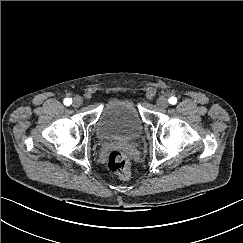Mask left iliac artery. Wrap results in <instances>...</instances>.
<instances>
[{"instance_id":"1","label":"left iliac artery","mask_w":243,"mask_h":243,"mask_svg":"<svg viewBox=\"0 0 243 243\" xmlns=\"http://www.w3.org/2000/svg\"><path fill=\"white\" fill-rule=\"evenodd\" d=\"M169 103L172 104V105L176 104L177 103V98L174 97V96L170 97L169 98Z\"/></svg>"}]
</instances>
